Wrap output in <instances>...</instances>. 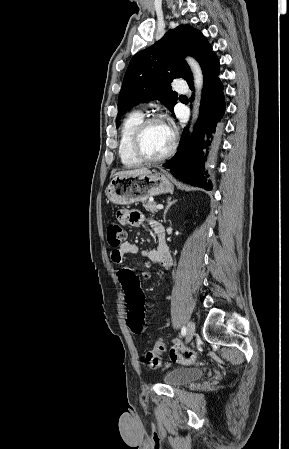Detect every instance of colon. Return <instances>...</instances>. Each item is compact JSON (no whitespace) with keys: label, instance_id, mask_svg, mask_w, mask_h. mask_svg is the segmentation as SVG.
Instances as JSON below:
<instances>
[{"label":"colon","instance_id":"colon-1","mask_svg":"<svg viewBox=\"0 0 289 449\" xmlns=\"http://www.w3.org/2000/svg\"><path fill=\"white\" fill-rule=\"evenodd\" d=\"M126 238L124 228L112 222L107 227V240L111 247H120ZM117 276L123 291L126 292L129 307L128 325L130 329L141 334L145 331L144 296L139 285V280L133 268H118ZM165 350V345L161 338H157L154 347L144 354V362L150 368H156L160 364L159 354ZM181 355V354H180ZM179 355V356H180ZM194 361V359H192Z\"/></svg>","mask_w":289,"mask_h":449}]
</instances>
